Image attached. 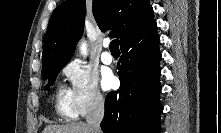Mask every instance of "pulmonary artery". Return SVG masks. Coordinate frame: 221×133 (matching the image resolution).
Returning <instances> with one entry per match:
<instances>
[{
	"label": "pulmonary artery",
	"mask_w": 221,
	"mask_h": 133,
	"mask_svg": "<svg viewBox=\"0 0 221 133\" xmlns=\"http://www.w3.org/2000/svg\"><path fill=\"white\" fill-rule=\"evenodd\" d=\"M103 46L105 47V51L101 54V60L104 64H111L113 62L112 54L107 50L109 48V41H104Z\"/></svg>",
	"instance_id": "obj_1"
}]
</instances>
